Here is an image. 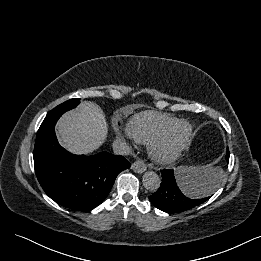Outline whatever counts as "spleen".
Returning <instances> with one entry per match:
<instances>
[{
	"instance_id": "1",
	"label": "spleen",
	"mask_w": 261,
	"mask_h": 261,
	"mask_svg": "<svg viewBox=\"0 0 261 261\" xmlns=\"http://www.w3.org/2000/svg\"><path fill=\"white\" fill-rule=\"evenodd\" d=\"M187 172L191 175L190 179L196 182L200 188L197 194H192L195 198L208 196L218 187V175L212 172L208 167L188 168Z\"/></svg>"
}]
</instances>
